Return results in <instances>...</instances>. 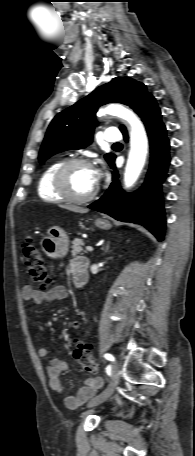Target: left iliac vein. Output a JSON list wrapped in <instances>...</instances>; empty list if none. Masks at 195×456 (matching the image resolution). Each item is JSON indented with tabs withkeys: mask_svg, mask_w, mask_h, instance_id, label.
<instances>
[{
	"mask_svg": "<svg viewBox=\"0 0 195 456\" xmlns=\"http://www.w3.org/2000/svg\"><path fill=\"white\" fill-rule=\"evenodd\" d=\"M119 382V372L117 370V367H114L113 369V379L111 383L108 385V387L98 396L93 398L89 403L88 407H93L101 404L102 402L106 401L114 392L117 384Z\"/></svg>",
	"mask_w": 195,
	"mask_h": 456,
	"instance_id": "4c4485c4",
	"label": "left iliac vein"
}]
</instances>
